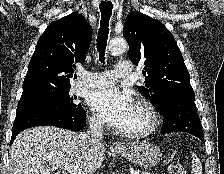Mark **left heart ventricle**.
<instances>
[{
	"instance_id": "obj_1",
	"label": "left heart ventricle",
	"mask_w": 224,
	"mask_h": 174,
	"mask_svg": "<svg viewBox=\"0 0 224 174\" xmlns=\"http://www.w3.org/2000/svg\"><path fill=\"white\" fill-rule=\"evenodd\" d=\"M148 117L146 113L138 106L135 105L134 110L122 129L125 132L137 131L145 128L148 125Z\"/></svg>"
}]
</instances>
